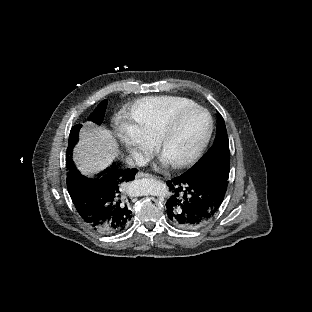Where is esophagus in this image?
Segmentation results:
<instances>
[{
	"instance_id": "esophagus-1",
	"label": "esophagus",
	"mask_w": 312,
	"mask_h": 312,
	"mask_svg": "<svg viewBox=\"0 0 312 312\" xmlns=\"http://www.w3.org/2000/svg\"><path fill=\"white\" fill-rule=\"evenodd\" d=\"M136 178H152V179H154L155 177L150 173H145V172L140 171L136 174Z\"/></svg>"
}]
</instances>
